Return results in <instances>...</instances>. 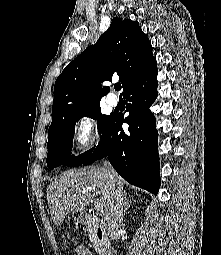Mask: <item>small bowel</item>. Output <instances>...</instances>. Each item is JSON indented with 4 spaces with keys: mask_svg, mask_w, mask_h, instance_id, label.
Masks as SVG:
<instances>
[{
    "mask_svg": "<svg viewBox=\"0 0 221 255\" xmlns=\"http://www.w3.org/2000/svg\"><path fill=\"white\" fill-rule=\"evenodd\" d=\"M75 252L76 255H92L91 251L84 245H77Z\"/></svg>",
    "mask_w": 221,
    "mask_h": 255,
    "instance_id": "1",
    "label": "small bowel"
}]
</instances>
